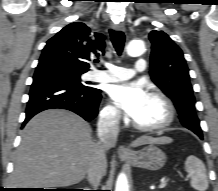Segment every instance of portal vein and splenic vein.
<instances>
[{
    "label": "portal vein and splenic vein",
    "mask_w": 218,
    "mask_h": 191,
    "mask_svg": "<svg viewBox=\"0 0 218 191\" xmlns=\"http://www.w3.org/2000/svg\"><path fill=\"white\" fill-rule=\"evenodd\" d=\"M166 184H167V180H166V179H163V180L161 181V184L159 185V189H163V188L166 186Z\"/></svg>",
    "instance_id": "18ae733b"
}]
</instances>
